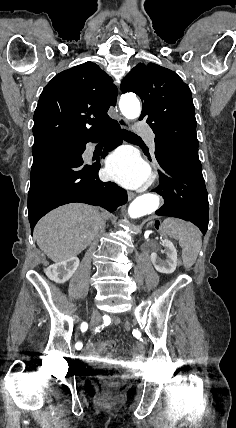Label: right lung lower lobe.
I'll return each mask as SVG.
<instances>
[{"mask_svg": "<svg viewBox=\"0 0 236 428\" xmlns=\"http://www.w3.org/2000/svg\"><path fill=\"white\" fill-rule=\"evenodd\" d=\"M72 140L77 142L73 155H53L32 165L28 192L31 233L42 216L67 203H86L113 212L127 202L124 189L115 183L99 180L100 164L83 165L82 159L88 142L105 140L104 156L122 144L118 122L113 120L87 137Z\"/></svg>", "mask_w": 236, "mask_h": 428, "instance_id": "98d812e1", "label": "right lung lower lobe"}]
</instances>
